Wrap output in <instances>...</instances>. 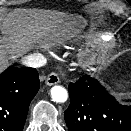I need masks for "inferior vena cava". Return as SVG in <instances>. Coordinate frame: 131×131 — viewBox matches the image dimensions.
Here are the masks:
<instances>
[{"label": "inferior vena cava", "mask_w": 131, "mask_h": 131, "mask_svg": "<svg viewBox=\"0 0 131 131\" xmlns=\"http://www.w3.org/2000/svg\"><path fill=\"white\" fill-rule=\"evenodd\" d=\"M47 59L40 53L29 54L22 58V64L27 67L39 68L46 65Z\"/></svg>", "instance_id": "inferior-vena-cava-1"}]
</instances>
